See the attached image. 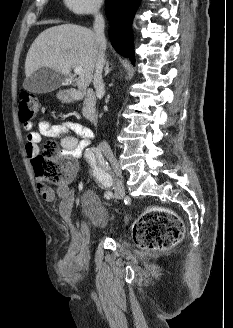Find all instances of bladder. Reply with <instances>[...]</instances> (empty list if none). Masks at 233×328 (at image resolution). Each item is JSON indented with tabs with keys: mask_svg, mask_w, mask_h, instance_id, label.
Returning a JSON list of instances; mask_svg holds the SVG:
<instances>
[{
	"mask_svg": "<svg viewBox=\"0 0 233 328\" xmlns=\"http://www.w3.org/2000/svg\"><path fill=\"white\" fill-rule=\"evenodd\" d=\"M80 203L86 223L90 228L99 231L108 228L112 220L111 213L95 192L85 191L81 196Z\"/></svg>",
	"mask_w": 233,
	"mask_h": 328,
	"instance_id": "31cf9c89",
	"label": "bladder"
}]
</instances>
